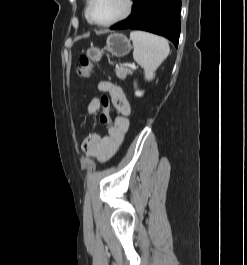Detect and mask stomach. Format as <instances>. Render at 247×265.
<instances>
[{
    "mask_svg": "<svg viewBox=\"0 0 247 265\" xmlns=\"http://www.w3.org/2000/svg\"><path fill=\"white\" fill-rule=\"evenodd\" d=\"M132 49L130 40L123 34L114 33L108 36L104 49L92 47L87 50L88 58L93 62L100 61L104 51L109 52L112 56L123 57Z\"/></svg>",
    "mask_w": 247,
    "mask_h": 265,
    "instance_id": "stomach-1",
    "label": "stomach"
}]
</instances>
